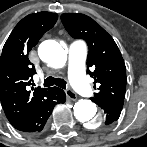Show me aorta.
I'll use <instances>...</instances> for the list:
<instances>
[{
	"instance_id": "obj_1",
	"label": "aorta",
	"mask_w": 147,
	"mask_h": 147,
	"mask_svg": "<svg viewBox=\"0 0 147 147\" xmlns=\"http://www.w3.org/2000/svg\"><path fill=\"white\" fill-rule=\"evenodd\" d=\"M38 54L42 61L48 63L53 68H62L67 59L66 52L54 40L43 41L38 48ZM73 110L76 119L87 128H96L104 121L103 114L98 113L96 104L91 100H78L74 104Z\"/></svg>"
}]
</instances>
